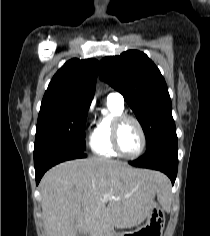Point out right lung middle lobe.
I'll list each match as a JSON object with an SVG mask.
<instances>
[{
	"label": "right lung middle lobe",
	"mask_w": 210,
	"mask_h": 236,
	"mask_svg": "<svg viewBox=\"0 0 210 236\" xmlns=\"http://www.w3.org/2000/svg\"><path fill=\"white\" fill-rule=\"evenodd\" d=\"M88 109L67 102L41 104L35 148L61 145L85 151V124Z\"/></svg>",
	"instance_id": "dd1d6c3e"
}]
</instances>
